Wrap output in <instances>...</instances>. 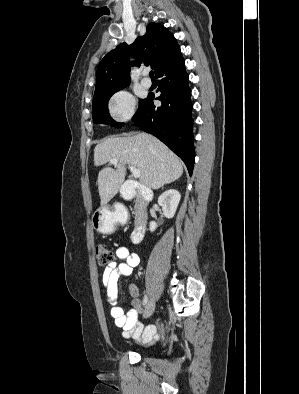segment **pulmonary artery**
I'll use <instances>...</instances> for the list:
<instances>
[{
  "instance_id": "e3ab8cb5",
  "label": "pulmonary artery",
  "mask_w": 299,
  "mask_h": 394,
  "mask_svg": "<svg viewBox=\"0 0 299 394\" xmlns=\"http://www.w3.org/2000/svg\"><path fill=\"white\" fill-rule=\"evenodd\" d=\"M142 85H143L144 87H146V88H150L151 85H152V82H151V80H150L148 77H145V78L142 80Z\"/></svg>"
}]
</instances>
